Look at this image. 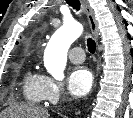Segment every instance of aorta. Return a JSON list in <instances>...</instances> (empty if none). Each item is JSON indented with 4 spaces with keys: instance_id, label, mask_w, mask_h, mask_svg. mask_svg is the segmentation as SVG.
Instances as JSON below:
<instances>
[{
    "instance_id": "obj_1",
    "label": "aorta",
    "mask_w": 133,
    "mask_h": 118,
    "mask_svg": "<svg viewBox=\"0 0 133 118\" xmlns=\"http://www.w3.org/2000/svg\"><path fill=\"white\" fill-rule=\"evenodd\" d=\"M83 27L76 21L66 22L52 36L44 52V65L55 79L64 78L67 52L71 44L81 36Z\"/></svg>"
}]
</instances>
